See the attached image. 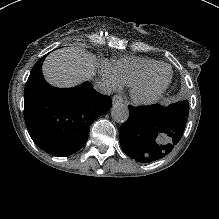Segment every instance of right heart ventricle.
Here are the masks:
<instances>
[{
    "instance_id": "right-heart-ventricle-1",
    "label": "right heart ventricle",
    "mask_w": 219,
    "mask_h": 219,
    "mask_svg": "<svg viewBox=\"0 0 219 219\" xmlns=\"http://www.w3.org/2000/svg\"><path fill=\"white\" fill-rule=\"evenodd\" d=\"M161 63L147 57L127 56L113 61L115 78L124 86L131 87L150 69Z\"/></svg>"
}]
</instances>
